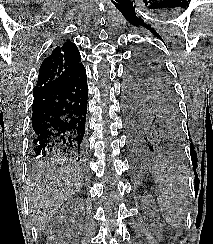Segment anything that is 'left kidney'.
Masks as SVG:
<instances>
[{"mask_svg": "<svg viewBox=\"0 0 213 244\" xmlns=\"http://www.w3.org/2000/svg\"><path fill=\"white\" fill-rule=\"evenodd\" d=\"M149 200H150V196H149V195H145V196H143V198H142V201H143L144 203L148 202Z\"/></svg>", "mask_w": 213, "mask_h": 244, "instance_id": "5707ae66", "label": "left kidney"}]
</instances>
